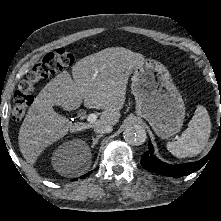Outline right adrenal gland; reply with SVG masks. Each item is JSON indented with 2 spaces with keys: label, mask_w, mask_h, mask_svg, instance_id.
Returning a JSON list of instances; mask_svg holds the SVG:
<instances>
[{
  "label": "right adrenal gland",
  "mask_w": 221,
  "mask_h": 221,
  "mask_svg": "<svg viewBox=\"0 0 221 221\" xmlns=\"http://www.w3.org/2000/svg\"><path fill=\"white\" fill-rule=\"evenodd\" d=\"M101 137H103V134L97 135L96 138L92 137V140H93L92 146H91L92 148L98 143V140H99Z\"/></svg>",
  "instance_id": "obj_1"
}]
</instances>
